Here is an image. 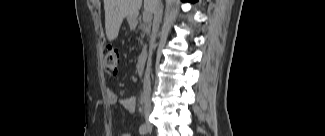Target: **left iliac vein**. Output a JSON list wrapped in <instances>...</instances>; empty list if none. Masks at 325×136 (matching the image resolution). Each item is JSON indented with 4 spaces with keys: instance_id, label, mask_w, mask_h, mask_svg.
Instances as JSON below:
<instances>
[{
    "instance_id": "1",
    "label": "left iliac vein",
    "mask_w": 325,
    "mask_h": 136,
    "mask_svg": "<svg viewBox=\"0 0 325 136\" xmlns=\"http://www.w3.org/2000/svg\"><path fill=\"white\" fill-rule=\"evenodd\" d=\"M151 130H152V125L150 124V125L148 126V132H151Z\"/></svg>"
}]
</instances>
